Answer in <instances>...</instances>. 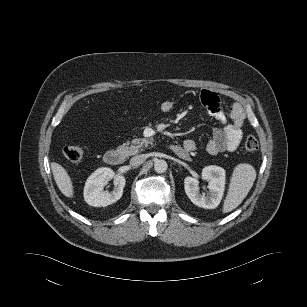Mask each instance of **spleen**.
Masks as SVG:
<instances>
[{
    "instance_id": "obj_1",
    "label": "spleen",
    "mask_w": 307,
    "mask_h": 307,
    "mask_svg": "<svg viewBox=\"0 0 307 307\" xmlns=\"http://www.w3.org/2000/svg\"><path fill=\"white\" fill-rule=\"evenodd\" d=\"M256 179V170L247 163H241L234 168L229 184V190L223 204V213L237 208L245 199Z\"/></svg>"
}]
</instances>
